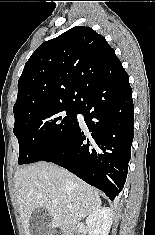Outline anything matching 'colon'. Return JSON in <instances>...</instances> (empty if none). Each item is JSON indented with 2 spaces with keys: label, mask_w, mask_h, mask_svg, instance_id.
<instances>
[{
  "label": "colon",
  "mask_w": 155,
  "mask_h": 235,
  "mask_svg": "<svg viewBox=\"0 0 155 235\" xmlns=\"http://www.w3.org/2000/svg\"><path fill=\"white\" fill-rule=\"evenodd\" d=\"M51 235H61L60 233H52Z\"/></svg>",
  "instance_id": "obj_1"
}]
</instances>
